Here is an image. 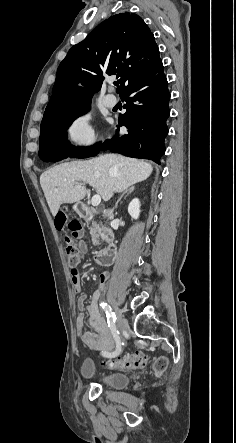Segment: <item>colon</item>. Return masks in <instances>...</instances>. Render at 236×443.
<instances>
[{
    "mask_svg": "<svg viewBox=\"0 0 236 443\" xmlns=\"http://www.w3.org/2000/svg\"><path fill=\"white\" fill-rule=\"evenodd\" d=\"M56 223L60 227H66L68 235L66 236V257L68 263L74 267L80 263L83 257L82 251L73 244V241L78 238L82 229L81 223L77 220L68 221L65 213H59L56 217ZM76 270V269H72ZM104 365L109 368L118 369H137L143 368L146 365V355L142 352H134L125 354L114 359L104 361ZM166 368V361L159 359L154 364V369L157 374H162Z\"/></svg>",
    "mask_w": 236,
    "mask_h": 443,
    "instance_id": "1",
    "label": "colon"
}]
</instances>
